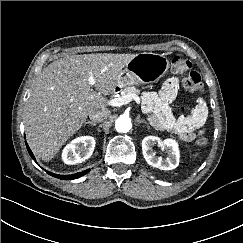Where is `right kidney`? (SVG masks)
I'll list each match as a JSON object with an SVG mask.
<instances>
[{"mask_svg": "<svg viewBox=\"0 0 243 243\" xmlns=\"http://www.w3.org/2000/svg\"><path fill=\"white\" fill-rule=\"evenodd\" d=\"M94 148L95 139L93 137H78L65 146L62 159L69 165L82 163L92 155Z\"/></svg>", "mask_w": 243, "mask_h": 243, "instance_id": "obj_1", "label": "right kidney"}]
</instances>
